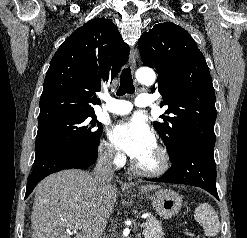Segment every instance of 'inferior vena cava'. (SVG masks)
I'll use <instances>...</instances> for the list:
<instances>
[{"label":"inferior vena cava","mask_w":247,"mask_h":238,"mask_svg":"<svg viewBox=\"0 0 247 238\" xmlns=\"http://www.w3.org/2000/svg\"><path fill=\"white\" fill-rule=\"evenodd\" d=\"M114 154L113 150L101 153L92 173L98 183L104 184L113 179L114 170L111 161Z\"/></svg>","instance_id":"1"}]
</instances>
